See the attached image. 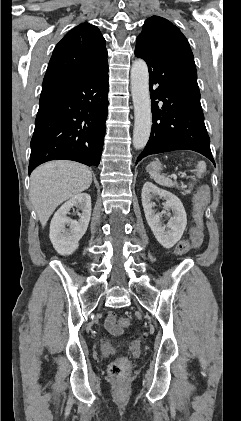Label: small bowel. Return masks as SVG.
I'll return each mask as SVG.
<instances>
[{"mask_svg": "<svg viewBox=\"0 0 241 421\" xmlns=\"http://www.w3.org/2000/svg\"><path fill=\"white\" fill-rule=\"evenodd\" d=\"M191 240L194 246H199L202 242V233L198 228H192L191 230ZM105 329L113 334H119L122 331V328L115 324V315L112 312H109L104 321Z\"/></svg>", "mask_w": 241, "mask_h": 421, "instance_id": "1", "label": "small bowel"}]
</instances>
